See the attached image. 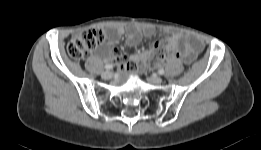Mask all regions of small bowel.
Here are the masks:
<instances>
[{
  "label": "small bowel",
  "instance_id": "small-bowel-1",
  "mask_svg": "<svg viewBox=\"0 0 261 150\" xmlns=\"http://www.w3.org/2000/svg\"><path fill=\"white\" fill-rule=\"evenodd\" d=\"M124 33L125 29L122 27L113 29L108 36L107 42L99 47L98 54L101 56L109 55L113 57L120 69L128 70L131 75L136 76L142 69V62L146 59L148 53L136 52L130 56H124L117 50L110 49V45L117 43ZM155 33L156 30L152 26H131L127 30L126 43L131 47L137 46L143 38H151ZM167 43L174 50L182 46L186 62H190L195 55L202 50V43L199 40L194 38H184L179 34L169 37Z\"/></svg>",
  "mask_w": 261,
  "mask_h": 150
}]
</instances>
